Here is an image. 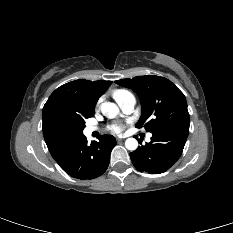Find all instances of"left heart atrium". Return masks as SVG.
Instances as JSON below:
<instances>
[{
  "label": "left heart atrium",
  "instance_id": "obj_1",
  "mask_svg": "<svg viewBox=\"0 0 233 233\" xmlns=\"http://www.w3.org/2000/svg\"><path fill=\"white\" fill-rule=\"evenodd\" d=\"M111 130L115 133H121L123 130V126L121 125H114L112 126Z\"/></svg>",
  "mask_w": 233,
  "mask_h": 233
}]
</instances>
